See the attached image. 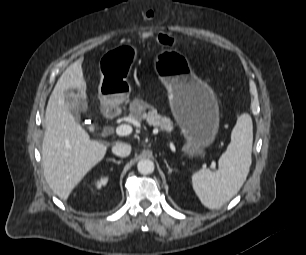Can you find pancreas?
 <instances>
[{
    "mask_svg": "<svg viewBox=\"0 0 306 255\" xmlns=\"http://www.w3.org/2000/svg\"><path fill=\"white\" fill-rule=\"evenodd\" d=\"M146 109H150V111L146 113ZM130 110L133 117L139 121L145 119L149 125L159 127L161 130L169 133L174 129L173 122L170 118L158 114L157 110L146 102L135 100L131 103Z\"/></svg>",
    "mask_w": 306,
    "mask_h": 255,
    "instance_id": "cf45deb5",
    "label": "pancreas"
}]
</instances>
